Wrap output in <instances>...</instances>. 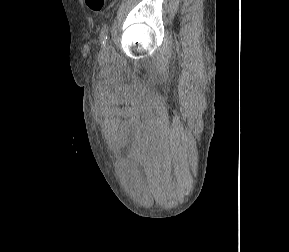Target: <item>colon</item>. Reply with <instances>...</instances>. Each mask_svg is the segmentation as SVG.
<instances>
[{
	"label": "colon",
	"instance_id": "1",
	"mask_svg": "<svg viewBox=\"0 0 289 252\" xmlns=\"http://www.w3.org/2000/svg\"><path fill=\"white\" fill-rule=\"evenodd\" d=\"M87 7L93 12H100L105 4V0H85Z\"/></svg>",
	"mask_w": 289,
	"mask_h": 252
}]
</instances>
